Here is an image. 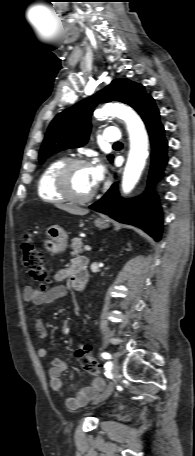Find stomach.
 <instances>
[{
	"mask_svg": "<svg viewBox=\"0 0 195 456\" xmlns=\"http://www.w3.org/2000/svg\"><path fill=\"white\" fill-rule=\"evenodd\" d=\"M94 224L100 229H106L109 227L108 222L100 218L96 219ZM46 234L50 241V244L46 246L48 251L59 252L66 248L68 236L63 228L58 225H52L47 229Z\"/></svg>",
	"mask_w": 195,
	"mask_h": 456,
	"instance_id": "0dacf381",
	"label": "stomach"
}]
</instances>
